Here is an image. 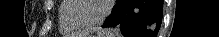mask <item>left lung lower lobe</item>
I'll list each match as a JSON object with an SVG mask.
<instances>
[{
	"mask_svg": "<svg viewBox=\"0 0 219 37\" xmlns=\"http://www.w3.org/2000/svg\"><path fill=\"white\" fill-rule=\"evenodd\" d=\"M162 11L163 0H116L102 27L119 26L125 37H156Z\"/></svg>",
	"mask_w": 219,
	"mask_h": 37,
	"instance_id": "left-lung-lower-lobe-1",
	"label": "left lung lower lobe"
}]
</instances>
